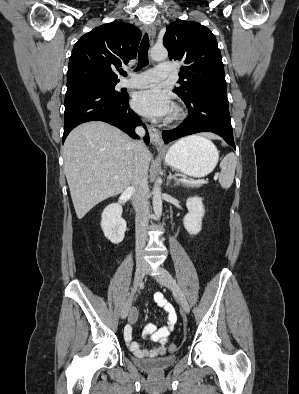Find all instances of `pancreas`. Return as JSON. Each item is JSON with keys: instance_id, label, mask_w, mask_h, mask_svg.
Segmentation results:
<instances>
[{"instance_id": "cf45deb5", "label": "pancreas", "mask_w": 299, "mask_h": 394, "mask_svg": "<svg viewBox=\"0 0 299 394\" xmlns=\"http://www.w3.org/2000/svg\"><path fill=\"white\" fill-rule=\"evenodd\" d=\"M185 186H187V187H200L201 186V184H185Z\"/></svg>"}]
</instances>
